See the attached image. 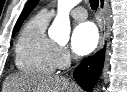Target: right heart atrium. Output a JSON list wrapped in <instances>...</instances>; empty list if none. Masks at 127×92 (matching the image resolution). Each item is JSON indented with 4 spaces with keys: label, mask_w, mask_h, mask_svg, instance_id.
<instances>
[{
    "label": "right heart atrium",
    "mask_w": 127,
    "mask_h": 92,
    "mask_svg": "<svg viewBox=\"0 0 127 92\" xmlns=\"http://www.w3.org/2000/svg\"><path fill=\"white\" fill-rule=\"evenodd\" d=\"M72 60L73 56L67 47L57 46L56 61L58 68L60 69L66 68L71 63Z\"/></svg>",
    "instance_id": "1"
}]
</instances>
